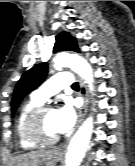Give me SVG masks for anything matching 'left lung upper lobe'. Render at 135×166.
I'll list each match as a JSON object with an SVG mask.
<instances>
[{
    "instance_id": "left-lung-upper-lobe-1",
    "label": "left lung upper lobe",
    "mask_w": 135,
    "mask_h": 166,
    "mask_svg": "<svg viewBox=\"0 0 135 166\" xmlns=\"http://www.w3.org/2000/svg\"><path fill=\"white\" fill-rule=\"evenodd\" d=\"M63 50L79 52L76 40L67 32H62L56 36V42L53 51L57 52ZM47 72V63H40L29 69L21 77L16 85L11 101L12 116L14 115L21 100L45 80Z\"/></svg>"
}]
</instances>
